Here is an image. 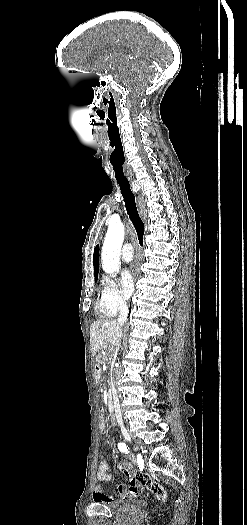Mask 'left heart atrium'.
<instances>
[{
	"label": "left heart atrium",
	"mask_w": 247,
	"mask_h": 525,
	"mask_svg": "<svg viewBox=\"0 0 247 525\" xmlns=\"http://www.w3.org/2000/svg\"><path fill=\"white\" fill-rule=\"evenodd\" d=\"M143 269V253L139 250H136L134 258L129 264V267L122 272V283L127 293H130L133 290L134 283L142 277Z\"/></svg>",
	"instance_id": "1"
}]
</instances>
